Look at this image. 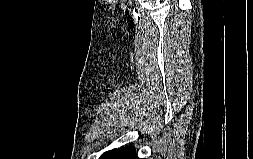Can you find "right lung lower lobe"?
<instances>
[{"label": "right lung lower lobe", "mask_w": 253, "mask_h": 159, "mask_svg": "<svg viewBox=\"0 0 253 159\" xmlns=\"http://www.w3.org/2000/svg\"><path fill=\"white\" fill-rule=\"evenodd\" d=\"M100 159H138L134 146L114 149L104 153Z\"/></svg>", "instance_id": "98d812e1"}]
</instances>
